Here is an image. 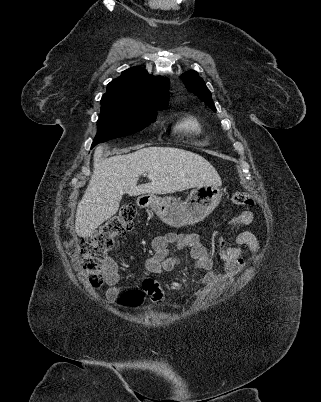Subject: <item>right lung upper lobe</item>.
I'll return each instance as SVG.
<instances>
[{
	"mask_svg": "<svg viewBox=\"0 0 321 402\" xmlns=\"http://www.w3.org/2000/svg\"><path fill=\"white\" fill-rule=\"evenodd\" d=\"M169 80L149 75L140 67H132L107 85L103 100H116L141 106L162 107L168 104Z\"/></svg>",
	"mask_w": 321,
	"mask_h": 402,
	"instance_id": "1",
	"label": "right lung upper lobe"
}]
</instances>
